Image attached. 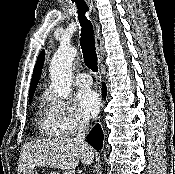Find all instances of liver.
Masks as SVG:
<instances>
[{
    "label": "liver",
    "instance_id": "6515ba94",
    "mask_svg": "<svg viewBox=\"0 0 175 174\" xmlns=\"http://www.w3.org/2000/svg\"><path fill=\"white\" fill-rule=\"evenodd\" d=\"M94 153L87 145L76 143L74 139L57 137L25 143L21 148L18 172L35 166L56 169H74L79 160L84 165L93 162Z\"/></svg>",
    "mask_w": 175,
    "mask_h": 174
}]
</instances>
